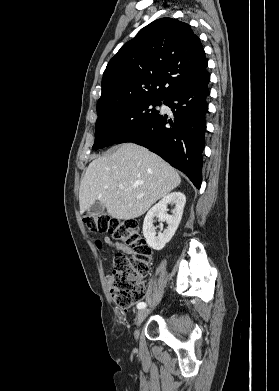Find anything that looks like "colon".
Wrapping results in <instances>:
<instances>
[{
    "instance_id": "obj_1",
    "label": "colon",
    "mask_w": 279,
    "mask_h": 391,
    "mask_svg": "<svg viewBox=\"0 0 279 391\" xmlns=\"http://www.w3.org/2000/svg\"><path fill=\"white\" fill-rule=\"evenodd\" d=\"M91 232L109 233L114 240L134 249L128 257L118 253L109 276V290L114 303L129 309L143 299L145 288L142 278L150 265L151 248L147 245L139 222L135 219L119 220L107 214H89L83 219ZM101 247V242H97Z\"/></svg>"
}]
</instances>
